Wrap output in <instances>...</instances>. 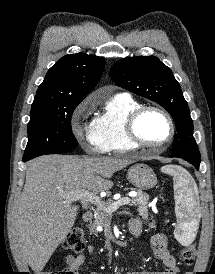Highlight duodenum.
<instances>
[{"instance_id":"duodenum-1","label":"duodenum","mask_w":215,"mask_h":274,"mask_svg":"<svg viewBox=\"0 0 215 274\" xmlns=\"http://www.w3.org/2000/svg\"><path fill=\"white\" fill-rule=\"evenodd\" d=\"M92 216H93L92 212L90 210H87L83 213L82 219L84 222H89L92 219ZM129 230H130V233L134 236L138 235L140 232L138 229H135V228L134 229L129 228Z\"/></svg>"}]
</instances>
